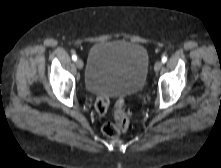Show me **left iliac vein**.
Instances as JSON below:
<instances>
[{"label":"left iliac vein","mask_w":221,"mask_h":168,"mask_svg":"<svg viewBox=\"0 0 221 168\" xmlns=\"http://www.w3.org/2000/svg\"><path fill=\"white\" fill-rule=\"evenodd\" d=\"M162 68V62L161 61H157L154 65V70L155 71H159Z\"/></svg>","instance_id":"1"}]
</instances>
